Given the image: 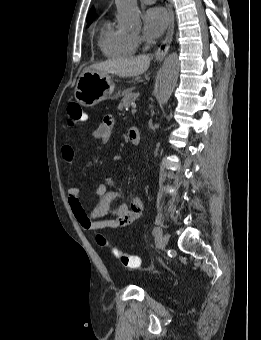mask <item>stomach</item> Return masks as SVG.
<instances>
[{
    "label": "stomach",
    "mask_w": 261,
    "mask_h": 340,
    "mask_svg": "<svg viewBox=\"0 0 261 340\" xmlns=\"http://www.w3.org/2000/svg\"><path fill=\"white\" fill-rule=\"evenodd\" d=\"M115 85L109 74L85 70L81 73L74 92L76 101L85 107H92L108 99Z\"/></svg>",
    "instance_id": "1"
}]
</instances>
